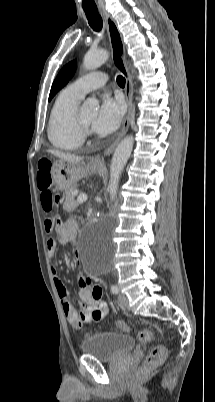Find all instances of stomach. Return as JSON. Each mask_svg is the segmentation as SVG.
<instances>
[{
    "label": "stomach",
    "instance_id": "stomach-1",
    "mask_svg": "<svg viewBox=\"0 0 215 402\" xmlns=\"http://www.w3.org/2000/svg\"><path fill=\"white\" fill-rule=\"evenodd\" d=\"M99 166L93 163H70L57 160L52 164L51 174L54 183L63 190L76 186V183L90 174L97 173Z\"/></svg>",
    "mask_w": 215,
    "mask_h": 402
}]
</instances>
